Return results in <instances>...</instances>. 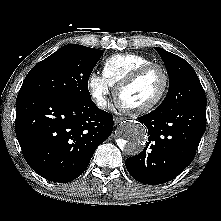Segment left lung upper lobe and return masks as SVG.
<instances>
[{"mask_svg":"<svg viewBox=\"0 0 221 221\" xmlns=\"http://www.w3.org/2000/svg\"><path fill=\"white\" fill-rule=\"evenodd\" d=\"M167 68L169 90L160 108H177L189 103H206V95L193 67L183 58L154 47Z\"/></svg>","mask_w":221,"mask_h":221,"instance_id":"left-lung-upper-lobe-1","label":"left lung upper lobe"}]
</instances>
